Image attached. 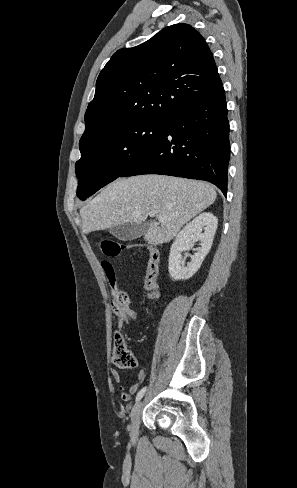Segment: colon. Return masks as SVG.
Here are the masks:
<instances>
[{"mask_svg": "<svg viewBox=\"0 0 297 488\" xmlns=\"http://www.w3.org/2000/svg\"><path fill=\"white\" fill-rule=\"evenodd\" d=\"M132 246L119 243L113 240H105L101 244V249L107 257H115L123 250L130 249ZM149 255L147 273L144 281V287L147 292L149 300H155L158 297V260L159 255L156 249L152 247L147 248ZM102 267L109 280L114 285L116 273L114 266L109 261H102ZM113 309L116 314L123 316L128 312V296L123 291H116L113 299ZM113 362L120 368L131 369L136 366V360L130 352L124 338L121 334L116 333L113 345Z\"/></svg>", "mask_w": 297, "mask_h": 488, "instance_id": "colon-1", "label": "colon"}]
</instances>
